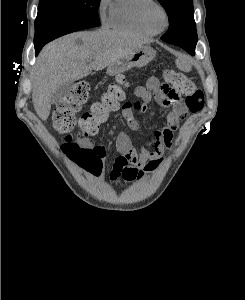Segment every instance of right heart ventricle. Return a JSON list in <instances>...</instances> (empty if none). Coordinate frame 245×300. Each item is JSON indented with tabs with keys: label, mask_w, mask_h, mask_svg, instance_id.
Instances as JSON below:
<instances>
[{
	"label": "right heart ventricle",
	"mask_w": 245,
	"mask_h": 300,
	"mask_svg": "<svg viewBox=\"0 0 245 300\" xmlns=\"http://www.w3.org/2000/svg\"><path fill=\"white\" fill-rule=\"evenodd\" d=\"M145 0H114L111 4L108 24L111 28L141 35H152L140 23L138 12Z\"/></svg>",
	"instance_id": "right-heart-ventricle-1"
}]
</instances>
